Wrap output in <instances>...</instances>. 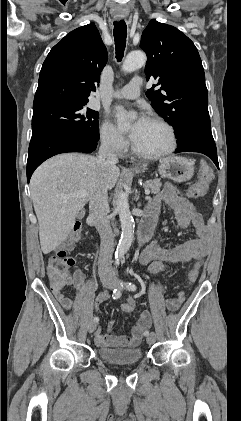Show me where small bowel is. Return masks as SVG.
<instances>
[{"label":"small bowel","mask_w":241,"mask_h":421,"mask_svg":"<svg viewBox=\"0 0 241 421\" xmlns=\"http://www.w3.org/2000/svg\"><path fill=\"white\" fill-rule=\"evenodd\" d=\"M166 203L174 212L175 218L182 228L192 226L195 229V238L189 241L173 244L155 240L148 245L141 254L140 260L144 265H148L155 260L165 261L168 265L192 263L193 268L199 271L203 258L209 252L210 236L208 228L204 223L202 215L196 211L195 207L187 201L173 185H166L154 202L148 208L147 215L157 216L161 203ZM78 291H84V275L80 270L74 273V280L71 282ZM62 287L52 285V292L67 310L73 308V299L62 293ZM108 299V293L102 292L99 295V302ZM185 300L183 292L177 293L167 300V308L176 311ZM150 325V314L142 312L132 328L131 334L117 335L114 332V320H110L107 333H103L100 328L95 332V342L101 347H123L134 348L139 345L143 337V332Z\"/></svg>","instance_id":"obj_1"}]
</instances>
